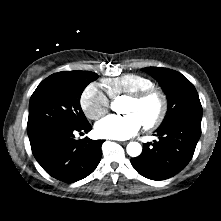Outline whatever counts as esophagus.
<instances>
[{"label": "esophagus", "instance_id": "34e87169", "mask_svg": "<svg viewBox=\"0 0 221 221\" xmlns=\"http://www.w3.org/2000/svg\"><path fill=\"white\" fill-rule=\"evenodd\" d=\"M119 143L122 145H126L128 142L127 141H120Z\"/></svg>", "mask_w": 221, "mask_h": 221}]
</instances>
